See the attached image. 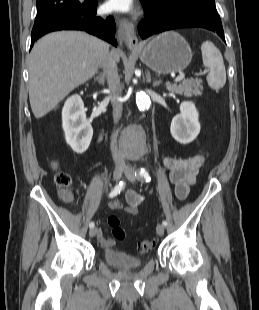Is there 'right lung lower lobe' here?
I'll use <instances>...</instances> for the list:
<instances>
[{
  "mask_svg": "<svg viewBox=\"0 0 259 310\" xmlns=\"http://www.w3.org/2000/svg\"><path fill=\"white\" fill-rule=\"evenodd\" d=\"M97 2L87 1L79 8L72 10H57L36 17L32 29L31 47L43 35L57 30H84L114 46H117L115 21L113 17L96 16Z\"/></svg>",
  "mask_w": 259,
  "mask_h": 310,
  "instance_id": "1",
  "label": "right lung lower lobe"
}]
</instances>
